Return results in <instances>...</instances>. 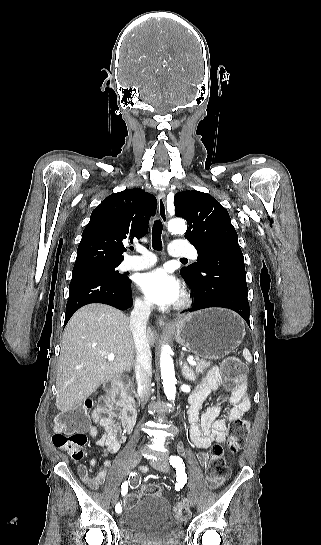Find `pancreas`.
<instances>
[{
  "label": "pancreas",
  "mask_w": 321,
  "mask_h": 545,
  "mask_svg": "<svg viewBox=\"0 0 321 545\" xmlns=\"http://www.w3.org/2000/svg\"><path fill=\"white\" fill-rule=\"evenodd\" d=\"M194 361L196 365H193V367H195L193 373L196 379V375H199V373H204V371H207L208 367H211V363H207V361H204V359H199V357H196Z\"/></svg>",
  "instance_id": "cf45deb5"
}]
</instances>
